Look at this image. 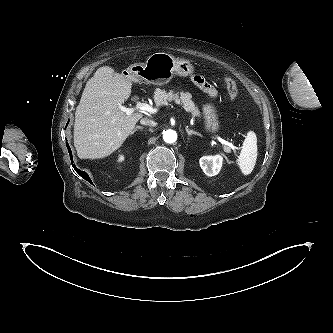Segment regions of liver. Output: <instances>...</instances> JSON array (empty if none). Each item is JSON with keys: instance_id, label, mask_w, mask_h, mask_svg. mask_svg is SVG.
Wrapping results in <instances>:
<instances>
[{"instance_id": "6515ba94", "label": "liver", "mask_w": 333, "mask_h": 333, "mask_svg": "<svg viewBox=\"0 0 333 333\" xmlns=\"http://www.w3.org/2000/svg\"><path fill=\"white\" fill-rule=\"evenodd\" d=\"M132 79L112 67L97 69L75 112L74 145L82 159L103 158L130 135L141 113L127 115L119 106L131 95Z\"/></svg>"}]
</instances>
